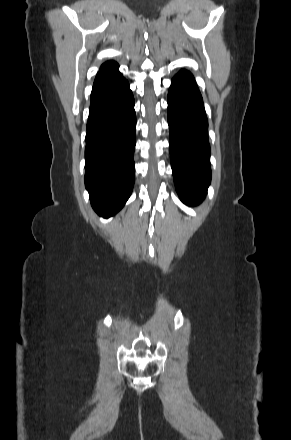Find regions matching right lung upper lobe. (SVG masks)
I'll return each instance as SVG.
<instances>
[{
	"instance_id": "1",
	"label": "right lung upper lobe",
	"mask_w": 291,
	"mask_h": 440,
	"mask_svg": "<svg viewBox=\"0 0 291 440\" xmlns=\"http://www.w3.org/2000/svg\"><path fill=\"white\" fill-rule=\"evenodd\" d=\"M118 64L114 61H107L104 64H102L101 69H107V68H111V67H115Z\"/></svg>"
}]
</instances>
